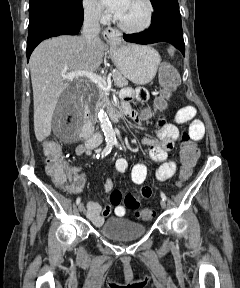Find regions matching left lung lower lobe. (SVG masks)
<instances>
[{"label":"left lung lower lobe","instance_id":"1","mask_svg":"<svg viewBox=\"0 0 240 288\" xmlns=\"http://www.w3.org/2000/svg\"><path fill=\"white\" fill-rule=\"evenodd\" d=\"M124 40L138 44L169 42L185 55L181 18L164 17L153 21L151 27L144 32L124 34Z\"/></svg>","mask_w":240,"mask_h":288}]
</instances>
